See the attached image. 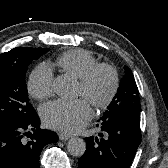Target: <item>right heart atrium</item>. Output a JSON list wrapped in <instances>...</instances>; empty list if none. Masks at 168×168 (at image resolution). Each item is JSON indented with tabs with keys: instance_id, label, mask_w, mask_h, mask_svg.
Returning a JSON list of instances; mask_svg holds the SVG:
<instances>
[{
	"instance_id": "1",
	"label": "right heart atrium",
	"mask_w": 168,
	"mask_h": 168,
	"mask_svg": "<svg viewBox=\"0 0 168 168\" xmlns=\"http://www.w3.org/2000/svg\"><path fill=\"white\" fill-rule=\"evenodd\" d=\"M27 90L31 97L44 100L53 95V73L49 66H37L29 76Z\"/></svg>"
}]
</instances>
